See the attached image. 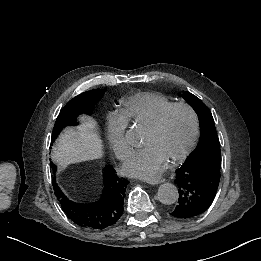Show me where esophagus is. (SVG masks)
Here are the masks:
<instances>
[{"label":"esophagus","mask_w":261,"mask_h":261,"mask_svg":"<svg viewBox=\"0 0 261 261\" xmlns=\"http://www.w3.org/2000/svg\"><path fill=\"white\" fill-rule=\"evenodd\" d=\"M146 182L149 183V184H160V183H163L164 182V179L163 178H147L146 179Z\"/></svg>","instance_id":"34e87169"}]
</instances>
